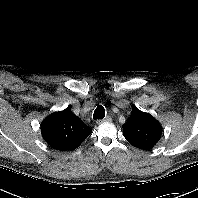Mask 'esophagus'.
I'll list each match as a JSON object with an SVG mask.
<instances>
[{
    "label": "esophagus",
    "mask_w": 198,
    "mask_h": 198,
    "mask_svg": "<svg viewBox=\"0 0 198 198\" xmlns=\"http://www.w3.org/2000/svg\"><path fill=\"white\" fill-rule=\"evenodd\" d=\"M112 121V118L110 117V116H107L106 118H104V119H98L97 121H96V123L97 124H103V123H105V122H111Z\"/></svg>",
    "instance_id": "34e87169"
}]
</instances>
